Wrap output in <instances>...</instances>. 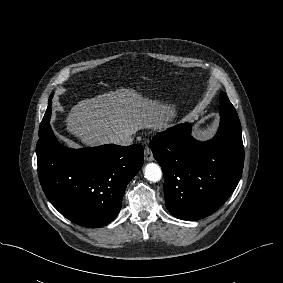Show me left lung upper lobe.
Returning a JSON list of instances; mask_svg holds the SVG:
<instances>
[{"mask_svg":"<svg viewBox=\"0 0 283 283\" xmlns=\"http://www.w3.org/2000/svg\"><path fill=\"white\" fill-rule=\"evenodd\" d=\"M220 104L221 105H226V106H232V104L230 103L228 97L226 96V93H224V92L221 93Z\"/></svg>","mask_w":283,"mask_h":283,"instance_id":"obj_1","label":"left lung upper lobe"}]
</instances>
